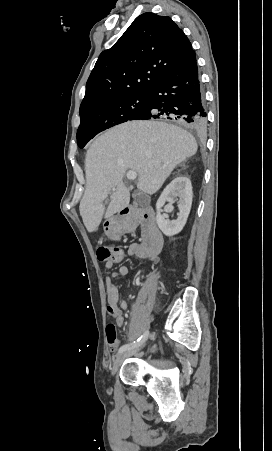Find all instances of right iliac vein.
Returning a JSON list of instances; mask_svg holds the SVG:
<instances>
[{"label": "right iliac vein", "instance_id": "63e3f726", "mask_svg": "<svg viewBox=\"0 0 272 451\" xmlns=\"http://www.w3.org/2000/svg\"><path fill=\"white\" fill-rule=\"evenodd\" d=\"M140 348H141V346L136 347V348H133V349H129V350H127V351L121 353V354L117 357V359H116V361H115V363H114V365H113V368H112V374H115V373H116V371H117L118 368L122 365V363L124 362V360H125L126 358H128V357H130V356L136 354Z\"/></svg>", "mask_w": 272, "mask_h": 451}]
</instances>
